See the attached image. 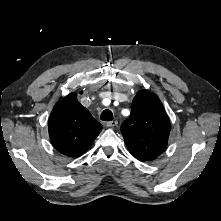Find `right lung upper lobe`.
<instances>
[{"label":"right lung upper lobe","mask_w":221,"mask_h":221,"mask_svg":"<svg viewBox=\"0 0 221 221\" xmlns=\"http://www.w3.org/2000/svg\"><path fill=\"white\" fill-rule=\"evenodd\" d=\"M103 126L70 93L53 108L48 130L53 146L62 154L76 158L85 153Z\"/></svg>","instance_id":"1"}]
</instances>
